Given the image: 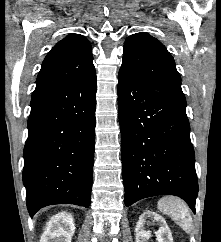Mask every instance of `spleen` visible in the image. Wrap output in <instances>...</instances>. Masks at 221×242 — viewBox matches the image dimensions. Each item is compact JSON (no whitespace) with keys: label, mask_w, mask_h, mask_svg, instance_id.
<instances>
[{"label":"spleen","mask_w":221,"mask_h":242,"mask_svg":"<svg viewBox=\"0 0 221 242\" xmlns=\"http://www.w3.org/2000/svg\"><path fill=\"white\" fill-rule=\"evenodd\" d=\"M158 209L167 214L186 233L193 230V221L187 204L177 197H163L158 201Z\"/></svg>","instance_id":"3e777b00"}]
</instances>
